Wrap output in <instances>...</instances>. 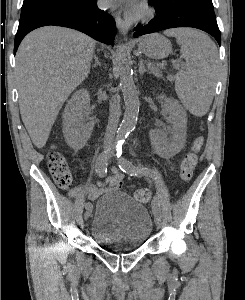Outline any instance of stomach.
Listing matches in <instances>:
<instances>
[{
    "label": "stomach",
    "instance_id": "1",
    "mask_svg": "<svg viewBox=\"0 0 245 300\" xmlns=\"http://www.w3.org/2000/svg\"><path fill=\"white\" fill-rule=\"evenodd\" d=\"M138 50L149 57L162 59L172 53V45L163 35L154 33L139 39Z\"/></svg>",
    "mask_w": 245,
    "mask_h": 300
}]
</instances>
